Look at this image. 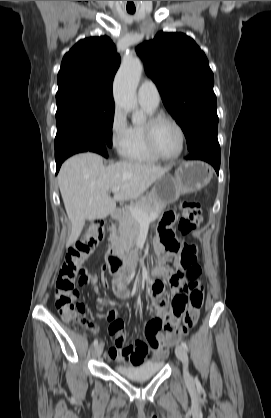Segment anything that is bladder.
<instances>
[{
	"label": "bladder",
	"instance_id": "obj_1",
	"mask_svg": "<svg viewBox=\"0 0 271 418\" xmlns=\"http://www.w3.org/2000/svg\"><path fill=\"white\" fill-rule=\"evenodd\" d=\"M163 368L162 361H147L139 365L118 364L115 366L117 373L132 381H146L158 374Z\"/></svg>",
	"mask_w": 271,
	"mask_h": 418
}]
</instances>
